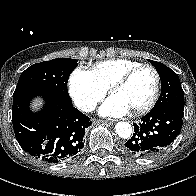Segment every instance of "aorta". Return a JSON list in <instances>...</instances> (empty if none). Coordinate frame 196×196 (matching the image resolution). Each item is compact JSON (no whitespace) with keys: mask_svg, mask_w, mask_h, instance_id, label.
<instances>
[{"mask_svg":"<svg viewBox=\"0 0 196 196\" xmlns=\"http://www.w3.org/2000/svg\"><path fill=\"white\" fill-rule=\"evenodd\" d=\"M116 133L119 137L127 139L132 134V126L128 122H118L115 126Z\"/></svg>","mask_w":196,"mask_h":196,"instance_id":"obj_1","label":"aorta"}]
</instances>
